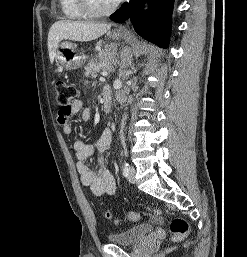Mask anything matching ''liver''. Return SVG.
<instances>
[{
	"label": "liver",
	"instance_id": "obj_1",
	"mask_svg": "<svg viewBox=\"0 0 247 257\" xmlns=\"http://www.w3.org/2000/svg\"><path fill=\"white\" fill-rule=\"evenodd\" d=\"M111 28L108 23L57 21L48 33V51L50 62L53 63L59 43L62 40L87 42L97 39Z\"/></svg>",
	"mask_w": 247,
	"mask_h": 257
}]
</instances>
